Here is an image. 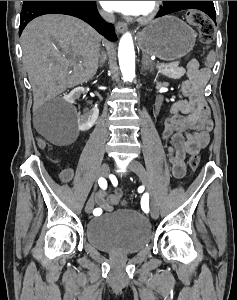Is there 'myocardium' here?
Segmentation results:
<instances>
[{
  "mask_svg": "<svg viewBox=\"0 0 237 300\" xmlns=\"http://www.w3.org/2000/svg\"><path fill=\"white\" fill-rule=\"evenodd\" d=\"M147 3V9L136 17V21L143 24L152 21L158 15L161 6V1H148Z\"/></svg>",
  "mask_w": 237,
  "mask_h": 300,
  "instance_id": "obj_1",
  "label": "myocardium"
}]
</instances>
